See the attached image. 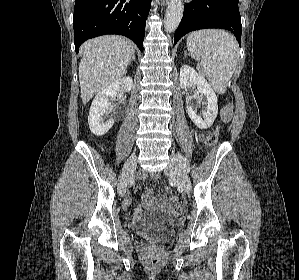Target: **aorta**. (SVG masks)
Masks as SVG:
<instances>
[{
  "mask_svg": "<svg viewBox=\"0 0 299 280\" xmlns=\"http://www.w3.org/2000/svg\"><path fill=\"white\" fill-rule=\"evenodd\" d=\"M183 3L181 0H171L166 13L164 20V27L166 32H174L183 16Z\"/></svg>",
  "mask_w": 299,
  "mask_h": 280,
  "instance_id": "obj_1",
  "label": "aorta"
}]
</instances>
